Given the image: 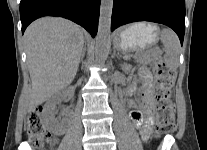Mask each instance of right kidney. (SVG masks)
Segmentation results:
<instances>
[{
	"instance_id": "1",
	"label": "right kidney",
	"mask_w": 207,
	"mask_h": 150,
	"mask_svg": "<svg viewBox=\"0 0 207 150\" xmlns=\"http://www.w3.org/2000/svg\"><path fill=\"white\" fill-rule=\"evenodd\" d=\"M67 96L66 90H61L53 95L44 106V119L47 127L56 135L62 133V124L55 119L57 105L60 104Z\"/></svg>"
}]
</instances>
